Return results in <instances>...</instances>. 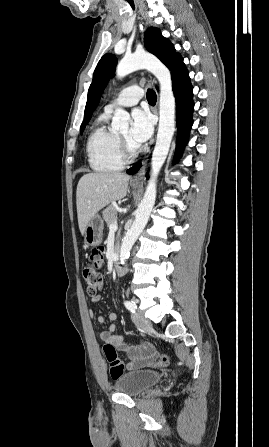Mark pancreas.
Listing matches in <instances>:
<instances>
[{"label": "pancreas", "mask_w": 269, "mask_h": 447, "mask_svg": "<svg viewBox=\"0 0 269 447\" xmlns=\"http://www.w3.org/2000/svg\"><path fill=\"white\" fill-rule=\"evenodd\" d=\"M117 216V210L114 208V206H108L106 210L103 212V218L107 224V227H109L110 224H113L114 220H116Z\"/></svg>", "instance_id": "obj_1"}]
</instances>
